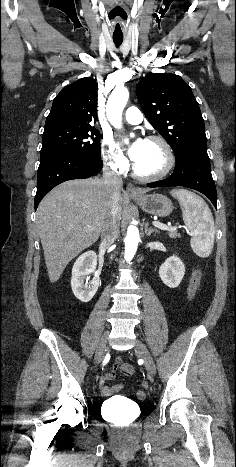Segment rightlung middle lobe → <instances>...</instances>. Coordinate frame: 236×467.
I'll return each mask as SVG.
<instances>
[{
	"label": "right lung middle lobe",
	"mask_w": 236,
	"mask_h": 467,
	"mask_svg": "<svg viewBox=\"0 0 236 467\" xmlns=\"http://www.w3.org/2000/svg\"><path fill=\"white\" fill-rule=\"evenodd\" d=\"M56 152H73L101 159L99 131L92 126L58 125L45 128L40 158Z\"/></svg>",
	"instance_id": "dd1d6c3e"
}]
</instances>
